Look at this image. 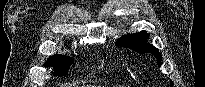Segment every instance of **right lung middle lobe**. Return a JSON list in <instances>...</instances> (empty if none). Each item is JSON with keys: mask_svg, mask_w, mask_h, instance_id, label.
<instances>
[{"mask_svg": "<svg viewBox=\"0 0 205 87\" xmlns=\"http://www.w3.org/2000/svg\"><path fill=\"white\" fill-rule=\"evenodd\" d=\"M73 59L68 58L66 56H54L50 57L48 59V62L44 64L45 67H53L54 68V74H57L59 76L66 75L68 72V69L70 65L72 64Z\"/></svg>", "mask_w": 205, "mask_h": 87, "instance_id": "obj_1", "label": "right lung middle lobe"}]
</instances>
